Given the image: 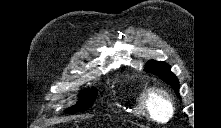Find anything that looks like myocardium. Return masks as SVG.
<instances>
[{
    "label": "myocardium",
    "instance_id": "myocardium-1",
    "mask_svg": "<svg viewBox=\"0 0 221 128\" xmlns=\"http://www.w3.org/2000/svg\"><path fill=\"white\" fill-rule=\"evenodd\" d=\"M163 103L168 110L167 117L165 119H158L154 112L155 103ZM142 112L145 116L158 123H165L169 121L175 112L173 101L169 93L160 87L147 88L141 98Z\"/></svg>",
    "mask_w": 221,
    "mask_h": 128
}]
</instances>
